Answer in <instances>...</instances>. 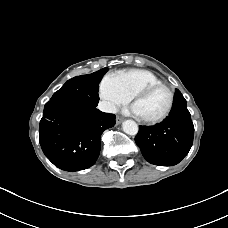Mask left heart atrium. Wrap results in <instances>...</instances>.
Wrapping results in <instances>:
<instances>
[{"instance_id":"39dd6f15","label":"left heart atrium","mask_w":228,"mask_h":228,"mask_svg":"<svg viewBox=\"0 0 228 228\" xmlns=\"http://www.w3.org/2000/svg\"><path fill=\"white\" fill-rule=\"evenodd\" d=\"M133 112H134L135 114H137V115H138V113H137V111H136L135 107L133 108Z\"/></svg>"}]
</instances>
